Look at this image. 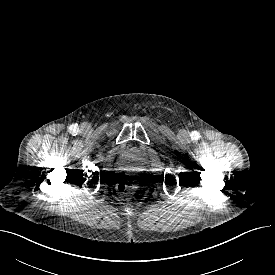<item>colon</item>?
<instances>
[{"mask_svg":"<svg viewBox=\"0 0 275 275\" xmlns=\"http://www.w3.org/2000/svg\"><path fill=\"white\" fill-rule=\"evenodd\" d=\"M134 188H135V185L133 181L122 182L118 185V192L121 195L126 196L131 194Z\"/></svg>","mask_w":275,"mask_h":275,"instance_id":"1","label":"colon"}]
</instances>
